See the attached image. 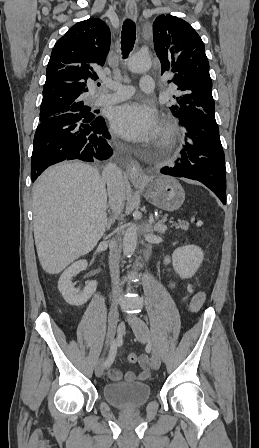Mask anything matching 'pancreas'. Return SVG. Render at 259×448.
Masks as SVG:
<instances>
[{
  "instance_id": "pancreas-1",
  "label": "pancreas",
  "mask_w": 259,
  "mask_h": 448,
  "mask_svg": "<svg viewBox=\"0 0 259 448\" xmlns=\"http://www.w3.org/2000/svg\"><path fill=\"white\" fill-rule=\"evenodd\" d=\"M175 226L176 230L180 228V230H188L189 228V222H178V224H173Z\"/></svg>"
}]
</instances>
